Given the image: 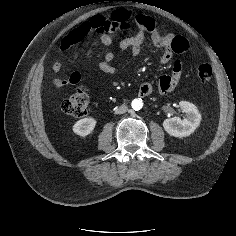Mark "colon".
<instances>
[{
	"label": "colon",
	"mask_w": 236,
	"mask_h": 236,
	"mask_svg": "<svg viewBox=\"0 0 236 236\" xmlns=\"http://www.w3.org/2000/svg\"><path fill=\"white\" fill-rule=\"evenodd\" d=\"M143 14H133L126 10H118L114 12L110 18L96 16L90 21L83 23L75 29L71 35V41L77 43L90 31L101 30L104 32L125 33L146 19ZM197 77L200 82L208 83L212 77V68L209 64H202L197 68ZM90 102V95L86 88H78L72 95L62 102V110L73 117L81 118L87 114Z\"/></svg>",
	"instance_id": "colon-1"
}]
</instances>
